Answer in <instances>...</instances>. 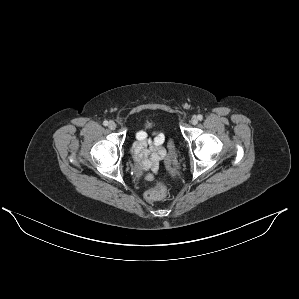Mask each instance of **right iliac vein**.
<instances>
[{
    "label": "right iliac vein",
    "mask_w": 299,
    "mask_h": 299,
    "mask_svg": "<svg viewBox=\"0 0 299 299\" xmlns=\"http://www.w3.org/2000/svg\"><path fill=\"white\" fill-rule=\"evenodd\" d=\"M108 127H109V129L114 130L116 128V123L113 121H110L108 123Z\"/></svg>",
    "instance_id": "right-iliac-vein-1"
}]
</instances>
